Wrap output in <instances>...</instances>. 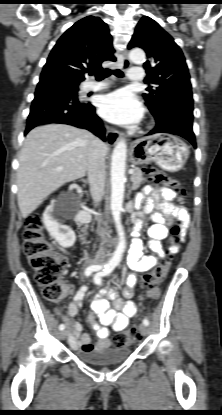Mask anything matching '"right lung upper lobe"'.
<instances>
[{"label": "right lung upper lobe", "mask_w": 222, "mask_h": 415, "mask_svg": "<svg viewBox=\"0 0 222 415\" xmlns=\"http://www.w3.org/2000/svg\"><path fill=\"white\" fill-rule=\"evenodd\" d=\"M112 37L107 25L94 16L85 17L70 27L57 41L41 72L64 76L74 83L84 74L102 69L104 61H115Z\"/></svg>", "instance_id": "1"}]
</instances>
